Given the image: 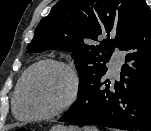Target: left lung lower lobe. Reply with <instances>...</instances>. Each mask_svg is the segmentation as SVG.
I'll use <instances>...</instances> for the list:
<instances>
[{
    "label": "left lung lower lobe",
    "mask_w": 151,
    "mask_h": 131,
    "mask_svg": "<svg viewBox=\"0 0 151 131\" xmlns=\"http://www.w3.org/2000/svg\"><path fill=\"white\" fill-rule=\"evenodd\" d=\"M119 80L95 79L62 115L61 122L151 131V11L142 3L125 44Z\"/></svg>",
    "instance_id": "0a47b994"
}]
</instances>
